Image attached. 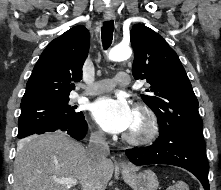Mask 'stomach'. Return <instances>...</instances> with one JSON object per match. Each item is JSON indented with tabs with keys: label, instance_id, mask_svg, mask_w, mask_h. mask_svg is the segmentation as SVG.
Here are the masks:
<instances>
[{
	"label": "stomach",
	"instance_id": "obj_1",
	"mask_svg": "<svg viewBox=\"0 0 221 190\" xmlns=\"http://www.w3.org/2000/svg\"><path fill=\"white\" fill-rule=\"evenodd\" d=\"M121 172L125 182L133 190H157L159 186L158 178L151 170L137 173L130 169H122Z\"/></svg>",
	"mask_w": 221,
	"mask_h": 190
}]
</instances>
